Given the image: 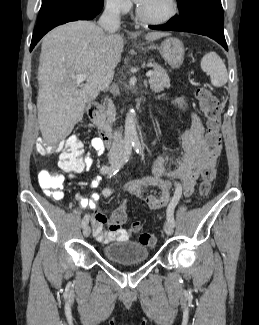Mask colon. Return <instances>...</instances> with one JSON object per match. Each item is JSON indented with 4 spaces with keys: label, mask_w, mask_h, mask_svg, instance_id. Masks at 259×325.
Instances as JSON below:
<instances>
[{
    "label": "colon",
    "mask_w": 259,
    "mask_h": 325,
    "mask_svg": "<svg viewBox=\"0 0 259 325\" xmlns=\"http://www.w3.org/2000/svg\"><path fill=\"white\" fill-rule=\"evenodd\" d=\"M196 99L207 120L206 140L211 147L216 146L220 142V103L217 97L206 87H198L195 91ZM36 150L41 155H49L56 151H61L60 161L63 170L72 168L78 164L82 157L83 148L81 141L76 136H70L65 140L56 144H47L39 139L36 142ZM216 177L214 167L207 168L202 173V181L199 191L201 196L205 197L209 194L212 182ZM64 174L61 171L43 170L38 174V183L41 189L49 196L56 199L61 197L63 188ZM127 219V205H121L112 214L111 223L116 226L122 225ZM131 229L138 232L141 229V223L134 221ZM139 241L147 247H153L156 244V237L150 232H143L139 236Z\"/></svg>",
    "instance_id": "1"
}]
</instances>
